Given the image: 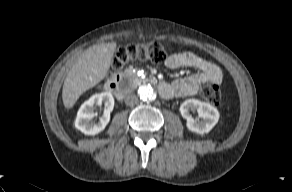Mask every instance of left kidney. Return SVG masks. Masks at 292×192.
Here are the masks:
<instances>
[{"instance_id": "left-kidney-1", "label": "left kidney", "mask_w": 292, "mask_h": 192, "mask_svg": "<svg viewBox=\"0 0 292 192\" xmlns=\"http://www.w3.org/2000/svg\"><path fill=\"white\" fill-rule=\"evenodd\" d=\"M190 110H197L200 121L195 120L189 113ZM180 113L186 119L187 128L197 134L203 135L211 131L219 120L217 108L209 103L197 99H187L180 105Z\"/></svg>"}]
</instances>
